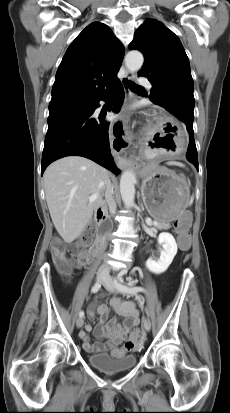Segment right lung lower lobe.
Here are the masks:
<instances>
[{
    "instance_id": "obj_1",
    "label": "right lung lower lobe",
    "mask_w": 230,
    "mask_h": 413,
    "mask_svg": "<svg viewBox=\"0 0 230 413\" xmlns=\"http://www.w3.org/2000/svg\"><path fill=\"white\" fill-rule=\"evenodd\" d=\"M111 93L117 99L112 110L118 112L124 98V91L119 79L105 94L83 107L55 113L48 117V131L42 154L41 174L53 161L65 156H83L103 167L119 174L111 155L108 129L109 123L104 116H94L99 101L107 100Z\"/></svg>"
}]
</instances>
